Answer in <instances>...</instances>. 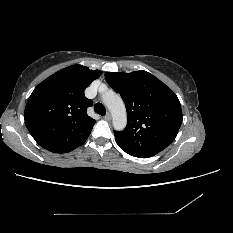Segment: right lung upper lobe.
<instances>
[{"instance_id": "obj_1", "label": "right lung upper lobe", "mask_w": 233, "mask_h": 233, "mask_svg": "<svg viewBox=\"0 0 233 233\" xmlns=\"http://www.w3.org/2000/svg\"><path fill=\"white\" fill-rule=\"evenodd\" d=\"M99 70L72 65L41 82L30 95L24 120L35 141L48 151L67 153L88 138L95 120L86 110L93 104L84 95Z\"/></svg>"}]
</instances>
